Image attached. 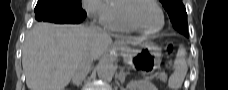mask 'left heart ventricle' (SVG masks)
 <instances>
[{
	"label": "left heart ventricle",
	"mask_w": 228,
	"mask_h": 90,
	"mask_svg": "<svg viewBox=\"0 0 228 90\" xmlns=\"http://www.w3.org/2000/svg\"><path fill=\"white\" fill-rule=\"evenodd\" d=\"M132 18L143 28L155 30L161 25V15L158 9L149 1H142L131 10Z\"/></svg>",
	"instance_id": "1"
}]
</instances>
